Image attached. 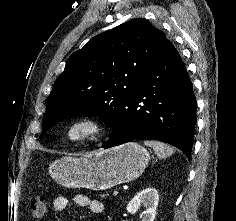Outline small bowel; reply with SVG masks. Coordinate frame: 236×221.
Returning <instances> with one entry per match:
<instances>
[{
  "instance_id": "obj_1",
  "label": "small bowel",
  "mask_w": 236,
  "mask_h": 221,
  "mask_svg": "<svg viewBox=\"0 0 236 221\" xmlns=\"http://www.w3.org/2000/svg\"><path fill=\"white\" fill-rule=\"evenodd\" d=\"M74 203L79 207H88L93 214H101L104 210L102 202L90 200L87 196L78 194L74 197ZM68 200L63 196L56 197L53 200L54 211L61 212L67 208Z\"/></svg>"
}]
</instances>
